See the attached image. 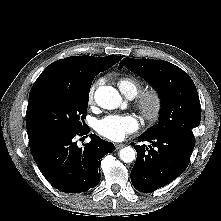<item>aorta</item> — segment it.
<instances>
[{
	"mask_svg": "<svg viewBox=\"0 0 221 221\" xmlns=\"http://www.w3.org/2000/svg\"><path fill=\"white\" fill-rule=\"evenodd\" d=\"M96 103L104 109L112 110L118 108L122 102L119 92L112 86L99 87L94 95ZM120 159L125 163H131L136 158V151L128 146L119 152Z\"/></svg>",
	"mask_w": 221,
	"mask_h": 221,
	"instance_id": "1",
	"label": "aorta"
}]
</instances>
